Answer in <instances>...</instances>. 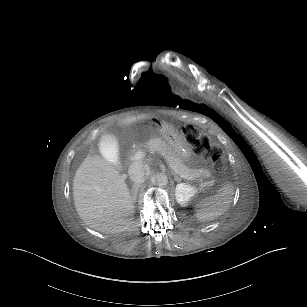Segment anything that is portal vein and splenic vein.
<instances>
[{
	"label": "portal vein and splenic vein",
	"mask_w": 307,
	"mask_h": 307,
	"mask_svg": "<svg viewBox=\"0 0 307 307\" xmlns=\"http://www.w3.org/2000/svg\"><path fill=\"white\" fill-rule=\"evenodd\" d=\"M145 156H146L145 150H143L141 148H138V149H136L135 153L130 156V159L132 161H135V160L141 161V160H143V158H145ZM177 172L179 173L180 171L178 170ZM182 175L184 176L185 174L183 173ZM185 177L186 178L188 177V179L190 180L189 175L186 174ZM196 182L199 184V187L202 190L205 188L203 183H202V181L200 179H198Z\"/></svg>",
	"instance_id": "obj_1"
}]
</instances>
